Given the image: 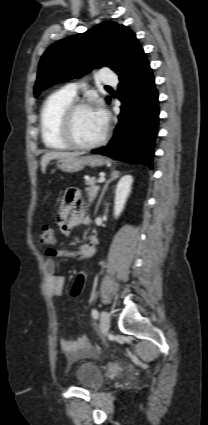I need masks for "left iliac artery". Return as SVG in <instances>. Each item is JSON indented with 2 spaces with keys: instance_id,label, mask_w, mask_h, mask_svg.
I'll return each mask as SVG.
<instances>
[{
  "instance_id": "obj_1",
  "label": "left iliac artery",
  "mask_w": 208,
  "mask_h": 425,
  "mask_svg": "<svg viewBox=\"0 0 208 425\" xmlns=\"http://www.w3.org/2000/svg\"><path fill=\"white\" fill-rule=\"evenodd\" d=\"M92 316H93L94 319H98L99 313H98V311L96 309H93L92 310Z\"/></svg>"
}]
</instances>
